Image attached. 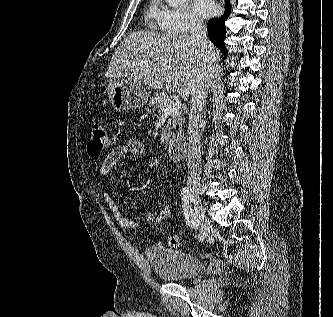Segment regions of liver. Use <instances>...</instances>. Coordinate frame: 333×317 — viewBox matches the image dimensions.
I'll return each mask as SVG.
<instances>
[{"mask_svg":"<svg viewBox=\"0 0 333 317\" xmlns=\"http://www.w3.org/2000/svg\"><path fill=\"white\" fill-rule=\"evenodd\" d=\"M215 64L219 52L211 44ZM207 57L191 35L135 31L115 50L106 76L130 77L153 89L165 88L184 100L192 95Z\"/></svg>","mask_w":333,"mask_h":317,"instance_id":"6515ba94","label":"liver"}]
</instances>
